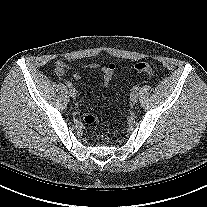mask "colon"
<instances>
[{
    "label": "colon",
    "instance_id": "colon-1",
    "mask_svg": "<svg viewBox=\"0 0 207 207\" xmlns=\"http://www.w3.org/2000/svg\"><path fill=\"white\" fill-rule=\"evenodd\" d=\"M135 71L139 73L146 74L148 76H153L155 74L154 67L146 62H138L134 65ZM83 121L86 125H96L100 122V117L95 113H87Z\"/></svg>",
    "mask_w": 207,
    "mask_h": 207
}]
</instances>
